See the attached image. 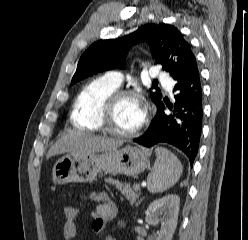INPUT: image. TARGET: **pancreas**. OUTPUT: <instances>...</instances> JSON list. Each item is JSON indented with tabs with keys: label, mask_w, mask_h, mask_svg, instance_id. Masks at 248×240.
I'll return each instance as SVG.
<instances>
[{
	"label": "pancreas",
	"mask_w": 248,
	"mask_h": 240,
	"mask_svg": "<svg viewBox=\"0 0 248 240\" xmlns=\"http://www.w3.org/2000/svg\"><path fill=\"white\" fill-rule=\"evenodd\" d=\"M105 181L109 184L115 185L116 188L121 191V193L126 197V199H128L131 204L135 203L136 200L139 198V189H137L135 187V185L133 186V189L130 187L129 184H122L120 181L118 180H114L113 178H107L105 179Z\"/></svg>",
	"instance_id": "1"
}]
</instances>
